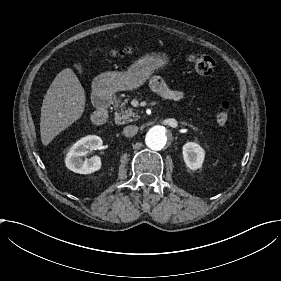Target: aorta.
I'll use <instances>...</instances> for the list:
<instances>
[{"mask_svg": "<svg viewBox=\"0 0 281 281\" xmlns=\"http://www.w3.org/2000/svg\"><path fill=\"white\" fill-rule=\"evenodd\" d=\"M167 130L163 126H154L146 134L145 143L152 150H161L168 142Z\"/></svg>", "mask_w": 281, "mask_h": 281, "instance_id": "obj_1", "label": "aorta"}]
</instances>
